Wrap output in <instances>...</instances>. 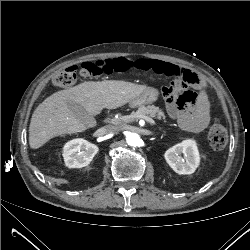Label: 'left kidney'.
I'll list each match as a JSON object with an SVG mask.
<instances>
[{
	"label": "left kidney",
	"instance_id": "1",
	"mask_svg": "<svg viewBox=\"0 0 250 250\" xmlns=\"http://www.w3.org/2000/svg\"><path fill=\"white\" fill-rule=\"evenodd\" d=\"M184 154V158L181 156ZM165 160L178 174L187 175L195 172L200 163L196 142L188 139L174 145L165 152Z\"/></svg>",
	"mask_w": 250,
	"mask_h": 250
}]
</instances>
